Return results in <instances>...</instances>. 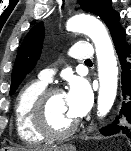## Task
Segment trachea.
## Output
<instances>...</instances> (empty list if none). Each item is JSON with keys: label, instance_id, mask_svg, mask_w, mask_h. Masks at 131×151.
I'll list each match as a JSON object with an SVG mask.
<instances>
[{"label": "trachea", "instance_id": "obj_1", "mask_svg": "<svg viewBox=\"0 0 131 151\" xmlns=\"http://www.w3.org/2000/svg\"><path fill=\"white\" fill-rule=\"evenodd\" d=\"M85 63H92L91 60H86Z\"/></svg>", "mask_w": 131, "mask_h": 151}]
</instances>
